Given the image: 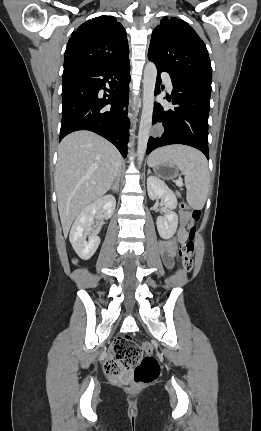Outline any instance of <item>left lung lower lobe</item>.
<instances>
[{
  "label": "left lung lower lobe",
  "mask_w": 261,
  "mask_h": 431,
  "mask_svg": "<svg viewBox=\"0 0 261 431\" xmlns=\"http://www.w3.org/2000/svg\"><path fill=\"white\" fill-rule=\"evenodd\" d=\"M163 71L170 74L173 84L171 102L176 107L167 110L155 102L152 124L161 123L163 130L158 136L149 138L147 154L165 145L184 144L199 149L209 159L208 116L211 84L193 78L176 76L157 66L155 95L161 93L160 73ZM166 99L170 101V97H166Z\"/></svg>",
  "instance_id": "obj_1"
}]
</instances>
